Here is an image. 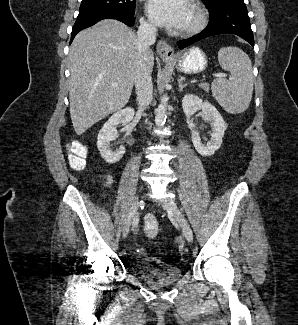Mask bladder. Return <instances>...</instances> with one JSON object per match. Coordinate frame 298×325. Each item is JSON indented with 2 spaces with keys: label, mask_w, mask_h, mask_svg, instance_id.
I'll return each instance as SVG.
<instances>
[{
  "label": "bladder",
  "mask_w": 298,
  "mask_h": 325,
  "mask_svg": "<svg viewBox=\"0 0 298 325\" xmlns=\"http://www.w3.org/2000/svg\"><path fill=\"white\" fill-rule=\"evenodd\" d=\"M136 277L152 288H163L176 283L181 271L176 267L148 263L136 271Z\"/></svg>",
  "instance_id": "1"
}]
</instances>
